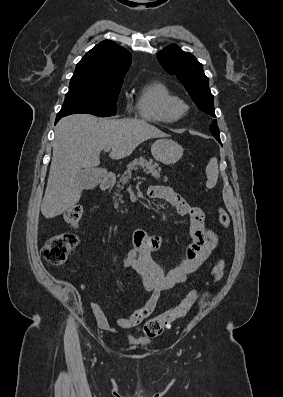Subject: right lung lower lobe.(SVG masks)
Here are the masks:
<instances>
[{
    "label": "right lung lower lobe",
    "instance_id": "obj_1",
    "mask_svg": "<svg viewBox=\"0 0 283 397\" xmlns=\"http://www.w3.org/2000/svg\"><path fill=\"white\" fill-rule=\"evenodd\" d=\"M61 118H62V117L57 116V117H56V120H55V124H56Z\"/></svg>",
    "mask_w": 283,
    "mask_h": 397
}]
</instances>
